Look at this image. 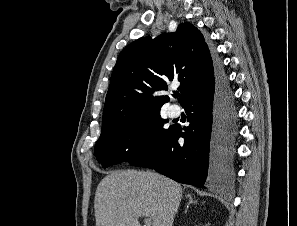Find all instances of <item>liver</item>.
Masks as SVG:
<instances>
[{
    "label": "liver",
    "instance_id": "obj_1",
    "mask_svg": "<svg viewBox=\"0 0 297 226\" xmlns=\"http://www.w3.org/2000/svg\"><path fill=\"white\" fill-rule=\"evenodd\" d=\"M181 199V185L155 172L112 171L96 189V226H140L139 217L172 226Z\"/></svg>",
    "mask_w": 297,
    "mask_h": 226
}]
</instances>
